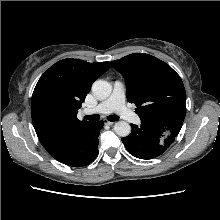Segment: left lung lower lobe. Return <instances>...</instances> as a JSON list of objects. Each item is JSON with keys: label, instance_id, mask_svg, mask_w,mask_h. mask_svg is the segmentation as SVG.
I'll return each mask as SVG.
<instances>
[{"label": "left lung lower lobe", "instance_id": "left-lung-lower-lobe-1", "mask_svg": "<svg viewBox=\"0 0 220 220\" xmlns=\"http://www.w3.org/2000/svg\"><path fill=\"white\" fill-rule=\"evenodd\" d=\"M132 131L122 142L127 151L140 159H152L161 155L175 140L167 125L158 121L131 124Z\"/></svg>", "mask_w": 220, "mask_h": 220}]
</instances>
